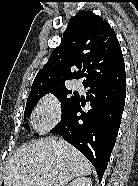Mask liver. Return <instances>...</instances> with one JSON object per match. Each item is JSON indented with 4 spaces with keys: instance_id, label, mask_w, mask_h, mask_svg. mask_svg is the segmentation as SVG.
<instances>
[{
    "instance_id": "liver-1",
    "label": "liver",
    "mask_w": 138,
    "mask_h": 186,
    "mask_svg": "<svg viewBox=\"0 0 138 186\" xmlns=\"http://www.w3.org/2000/svg\"><path fill=\"white\" fill-rule=\"evenodd\" d=\"M92 173V165L75 147L62 139L46 137L20 147L5 167V186H65L75 177Z\"/></svg>"
}]
</instances>
